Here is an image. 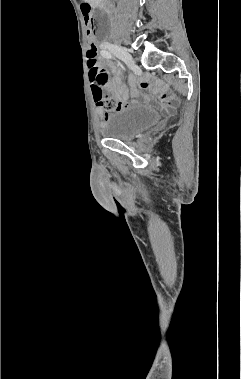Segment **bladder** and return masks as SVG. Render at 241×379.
<instances>
[{"label": "bladder", "instance_id": "obj_1", "mask_svg": "<svg viewBox=\"0 0 241 379\" xmlns=\"http://www.w3.org/2000/svg\"><path fill=\"white\" fill-rule=\"evenodd\" d=\"M160 117V113L151 108H127L109 115L100 131L106 138L130 141L157 124Z\"/></svg>", "mask_w": 241, "mask_h": 379}]
</instances>
